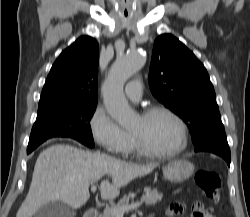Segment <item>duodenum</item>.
<instances>
[{
  "instance_id": "obj_1",
  "label": "duodenum",
  "mask_w": 250,
  "mask_h": 217,
  "mask_svg": "<svg viewBox=\"0 0 250 217\" xmlns=\"http://www.w3.org/2000/svg\"><path fill=\"white\" fill-rule=\"evenodd\" d=\"M99 211L95 207H90L86 210L84 217H98Z\"/></svg>"
}]
</instances>
